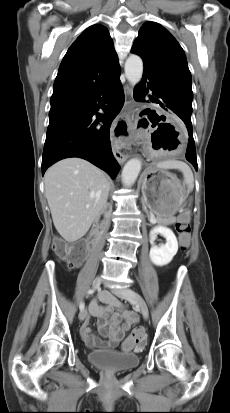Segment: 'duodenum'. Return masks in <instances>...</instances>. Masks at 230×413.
<instances>
[{"instance_id": "410a0bca", "label": "duodenum", "mask_w": 230, "mask_h": 413, "mask_svg": "<svg viewBox=\"0 0 230 413\" xmlns=\"http://www.w3.org/2000/svg\"><path fill=\"white\" fill-rule=\"evenodd\" d=\"M105 219L106 217L104 215H101L97 220V227H99Z\"/></svg>"}]
</instances>
